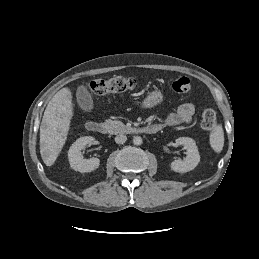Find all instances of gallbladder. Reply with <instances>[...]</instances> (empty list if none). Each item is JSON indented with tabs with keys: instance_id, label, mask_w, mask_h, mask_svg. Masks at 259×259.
I'll return each mask as SVG.
<instances>
[{
	"instance_id": "1",
	"label": "gallbladder",
	"mask_w": 259,
	"mask_h": 259,
	"mask_svg": "<svg viewBox=\"0 0 259 259\" xmlns=\"http://www.w3.org/2000/svg\"><path fill=\"white\" fill-rule=\"evenodd\" d=\"M76 100L79 107L82 110L86 112H91L93 110L94 108L93 99L86 86L81 85L77 88Z\"/></svg>"
}]
</instances>
